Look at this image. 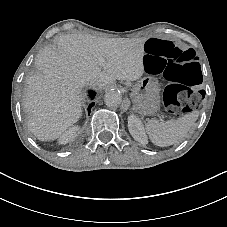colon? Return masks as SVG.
<instances>
[{
  "label": "colon",
  "mask_w": 227,
  "mask_h": 227,
  "mask_svg": "<svg viewBox=\"0 0 227 227\" xmlns=\"http://www.w3.org/2000/svg\"><path fill=\"white\" fill-rule=\"evenodd\" d=\"M144 54L146 69L168 82L163 100L170 113H185L199 105L201 96L193 87L201 83L202 72L193 50L153 38L145 43Z\"/></svg>",
  "instance_id": "colon-1"
}]
</instances>
